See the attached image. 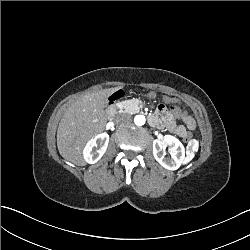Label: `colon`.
Listing matches in <instances>:
<instances>
[{"label":"colon","mask_w":250,"mask_h":250,"mask_svg":"<svg viewBox=\"0 0 250 250\" xmlns=\"http://www.w3.org/2000/svg\"><path fill=\"white\" fill-rule=\"evenodd\" d=\"M124 94H125V92H124L122 89H119V90H117L116 92H114V93L110 96V100L115 101V100H117V99H120V98H122V97L124 96ZM167 109H168L169 111H176V110H177V107H176L175 105H173V104H169V105L167 106ZM184 121H185V123L187 124V126H188L189 128H191V129L194 128L195 123H194V121H193L192 119L185 118ZM182 140H183L184 143L187 144V143H189L190 141L193 140V135H192L191 133L187 132V133L184 134Z\"/></svg>","instance_id":"colon-1"}]
</instances>
